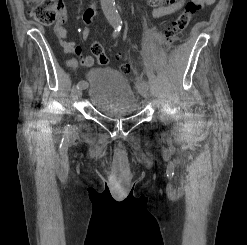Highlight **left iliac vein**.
I'll list each match as a JSON object with an SVG mask.
<instances>
[{
	"label": "left iliac vein",
	"mask_w": 247,
	"mask_h": 245,
	"mask_svg": "<svg viewBox=\"0 0 247 245\" xmlns=\"http://www.w3.org/2000/svg\"><path fill=\"white\" fill-rule=\"evenodd\" d=\"M138 90H139V93L141 94V96L144 98V99H149V93H148V89H147V85H143V84H139L138 85Z\"/></svg>",
	"instance_id": "1"
}]
</instances>
